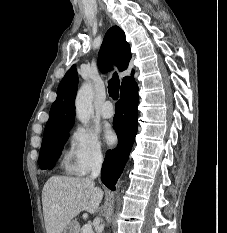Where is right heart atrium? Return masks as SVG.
Returning <instances> with one entry per match:
<instances>
[{"mask_svg": "<svg viewBox=\"0 0 227 233\" xmlns=\"http://www.w3.org/2000/svg\"><path fill=\"white\" fill-rule=\"evenodd\" d=\"M104 157L102 144L95 132L82 126L73 129L65 152V167L68 172L86 175L99 168Z\"/></svg>", "mask_w": 227, "mask_h": 233, "instance_id": "1", "label": "right heart atrium"}]
</instances>
